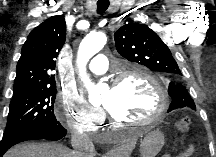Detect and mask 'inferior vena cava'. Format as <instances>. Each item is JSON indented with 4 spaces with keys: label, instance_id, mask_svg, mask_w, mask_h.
<instances>
[{
    "label": "inferior vena cava",
    "instance_id": "1",
    "mask_svg": "<svg viewBox=\"0 0 216 157\" xmlns=\"http://www.w3.org/2000/svg\"><path fill=\"white\" fill-rule=\"evenodd\" d=\"M71 144L74 157H92L94 145L86 134L78 130L72 131Z\"/></svg>",
    "mask_w": 216,
    "mask_h": 157
}]
</instances>
